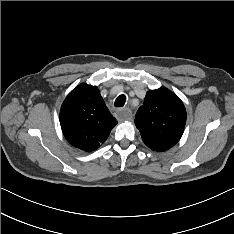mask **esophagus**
I'll use <instances>...</instances> for the list:
<instances>
[{"mask_svg":"<svg viewBox=\"0 0 234 234\" xmlns=\"http://www.w3.org/2000/svg\"><path fill=\"white\" fill-rule=\"evenodd\" d=\"M117 113H118L119 118L122 120H131L132 119V112L129 108L119 109L117 111Z\"/></svg>","mask_w":234,"mask_h":234,"instance_id":"1","label":"esophagus"}]
</instances>
